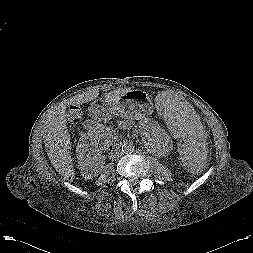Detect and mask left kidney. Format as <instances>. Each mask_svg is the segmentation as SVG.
Instances as JSON below:
<instances>
[{"label": "left kidney", "mask_w": 253, "mask_h": 253, "mask_svg": "<svg viewBox=\"0 0 253 253\" xmlns=\"http://www.w3.org/2000/svg\"><path fill=\"white\" fill-rule=\"evenodd\" d=\"M142 141L152 152L164 155L171 145L168 134L160 125L153 120L144 121L139 129Z\"/></svg>", "instance_id": "left-kidney-1"}]
</instances>
